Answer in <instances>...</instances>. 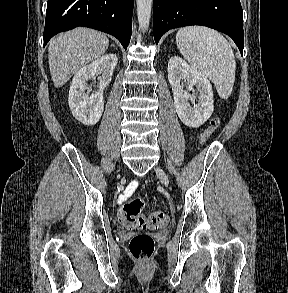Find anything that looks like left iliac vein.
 Here are the masks:
<instances>
[{"instance_id": "obj_1", "label": "left iliac vein", "mask_w": 288, "mask_h": 293, "mask_svg": "<svg viewBox=\"0 0 288 293\" xmlns=\"http://www.w3.org/2000/svg\"><path fill=\"white\" fill-rule=\"evenodd\" d=\"M155 171H156V174H157L158 178L160 179V181L164 185H167L169 183V179H168L166 173L160 167H156Z\"/></svg>"}]
</instances>
